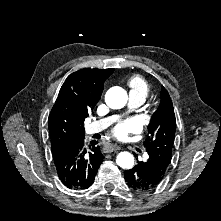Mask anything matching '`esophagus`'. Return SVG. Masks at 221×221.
<instances>
[{
	"instance_id": "34e87169",
	"label": "esophagus",
	"mask_w": 221,
	"mask_h": 221,
	"mask_svg": "<svg viewBox=\"0 0 221 221\" xmlns=\"http://www.w3.org/2000/svg\"><path fill=\"white\" fill-rule=\"evenodd\" d=\"M105 148H106L107 152H114V151L120 150V146H118V145H112V144H107V145L105 146Z\"/></svg>"
}]
</instances>
